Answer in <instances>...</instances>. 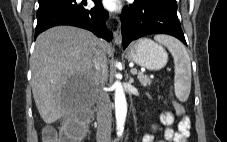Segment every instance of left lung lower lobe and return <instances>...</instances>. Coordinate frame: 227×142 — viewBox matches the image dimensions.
I'll use <instances>...</instances> for the list:
<instances>
[{
  "mask_svg": "<svg viewBox=\"0 0 227 142\" xmlns=\"http://www.w3.org/2000/svg\"><path fill=\"white\" fill-rule=\"evenodd\" d=\"M124 49L130 42L148 34H168L187 45L177 17V3L143 0L125 7L122 14Z\"/></svg>",
  "mask_w": 227,
  "mask_h": 142,
  "instance_id": "obj_1",
  "label": "left lung lower lobe"
}]
</instances>
